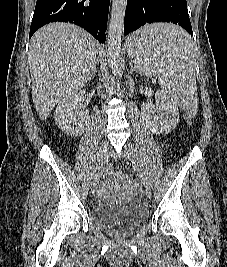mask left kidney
<instances>
[{
  "label": "left kidney",
  "instance_id": "left-kidney-1",
  "mask_svg": "<svg viewBox=\"0 0 227 267\" xmlns=\"http://www.w3.org/2000/svg\"><path fill=\"white\" fill-rule=\"evenodd\" d=\"M155 98L158 103L157 114L153 107H144L146 109V125L153 133L168 134L179 121L177 104L163 91L156 92Z\"/></svg>",
  "mask_w": 227,
  "mask_h": 267
}]
</instances>
